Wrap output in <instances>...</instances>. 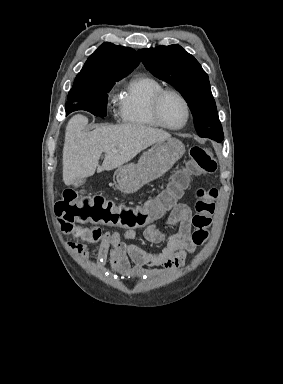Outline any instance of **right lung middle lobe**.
I'll return each instance as SVG.
<instances>
[{"mask_svg": "<svg viewBox=\"0 0 283 384\" xmlns=\"http://www.w3.org/2000/svg\"><path fill=\"white\" fill-rule=\"evenodd\" d=\"M115 83H107L86 88L71 89L66 102V114L76 110H86L95 116L105 117L108 92Z\"/></svg>", "mask_w": 283, "mask_h": 384, "instance_id": "dd1d6c3e", "label": "right lung middle lobe"}]
</instances>
